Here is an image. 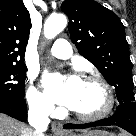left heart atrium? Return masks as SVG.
Here are the masks:
<instances>
[{"label":"left heart atrium","instance_id":"1","mask_svg":"<svg viewBox=\"0 0 136 136\" xmlns=\"http://www.w3.org/2000/svg\"><path fill=\"white\" fill-rule=\"evenodd\" d=\"M45 87L50 97L57 103L73 109L77 103L82 80L77 76H71L63 80L60 76L47 74Z\"/></svg>","mask_w":136,"mask_h":136}]
</instances>
